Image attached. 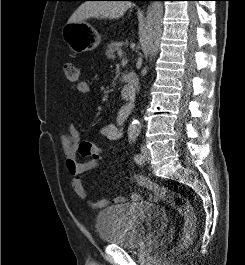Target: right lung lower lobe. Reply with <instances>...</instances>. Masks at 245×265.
<instances>
[{
	"label": "right lung lower lobe",
	"mask_w": 245,
	"mask_h": 265,
	"mask_svg": "<svg viewBox=\"0 0 245 265\" xmlns=\"http://www.w3.org/2000/svg\"><path fill=\"white\" fill-rule=\"evenodd\" d=\"M85 1V0H83ZM128 1H153V0H128Z\"/></svg>",
	"instance_id": "obj_1"
}]
</instances>
